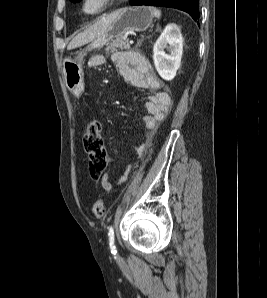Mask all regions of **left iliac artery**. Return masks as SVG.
I'll return each instance as SVG.
<instances>
[{
  "instance_id": "1",
  "label": "left iliac artery",
  "mask_w": 267,
  "mask_h": 298,
  "mask_svg": "<svg viewBox=\"0 0 267 298\" xmlns=\"http://www.w3.org/2000/svg\"><path fill=\"white\" fill-rule=\"evenodd\" d=\"M108 237H109V246H110L111 252L113 254H116L117 250H116V246H115V243H114V229H113V226L108 227Z\"/></svg>"
}]
</instances>
